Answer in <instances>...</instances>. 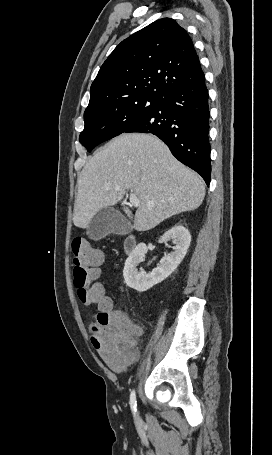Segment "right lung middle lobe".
I'll use <instances>...</instances> for the list:
<instances>
[{"label": "right lung middle lobe", "mask_w": 272, "mask_h": 455, "mask_svg": "<svg viewBox=\"0 0 272 455\" xmlns=\"http://www.w3.org/2000/svg\"><path fill=\"white\" fill-rule=\"evenodd\" d=\"M161 99L154 95H136L85 111V127L79 141L90 152L95 146L124 133L152 113Z\"/></svg>", "instance_id": "obj_1"}]
</instances>
